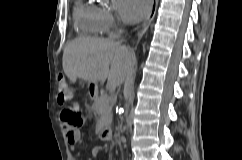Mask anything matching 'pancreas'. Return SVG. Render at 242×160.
<instances>
[{
  "instance_id": "cf45deb5",
  "label": "pancreas",
  "mask_w": 242,
  "mask_h": 160,
  "mask_svg": "<svg viewBox=\"0 0 242 160\" xmlns=\"http://www.w3.org/2000/svg\"><path fill=\"white\" fill-rule=\"evenodd\" d=\"M96 117V133L112 122V105L107 95L96 96L91 107Z\"/></svg>"
}]
</instances>
